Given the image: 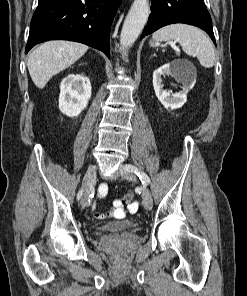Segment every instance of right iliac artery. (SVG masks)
I'll return each instance as SVG.
<instances>
[{
	"label": "right iliac artery",
	"instance_id": "1",
	"mask_svg": "<svg viewBox=\"0 0 247 296\" xmlns=\"http://www.w3.org/2000/svg\"><path fill=\"white\" fill-rule=\"evenodd\" d=\"M82 193H83V189H81L78 194H77V199L79 200L82 196Z\"/></svg>",
	"mask_w": 247,
	"mask_h": 296
}]
</instances>
